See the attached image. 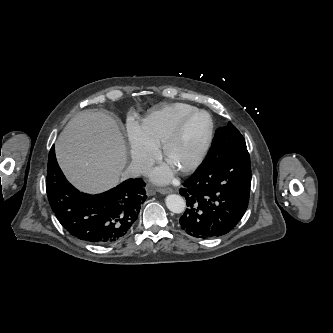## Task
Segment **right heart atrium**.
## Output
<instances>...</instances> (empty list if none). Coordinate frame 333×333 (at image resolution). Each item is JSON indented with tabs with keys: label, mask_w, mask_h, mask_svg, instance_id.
I'll return each instance as SVG.
<instances>
[{
	"label": "right heart atrium",
	"mask_w": 333,
	"mask_h": 333,
	"mask_svg": "<svg viewBox=\"0 0 333 333\" xmlns=\"http://www.w3.org/2000/svg\"><path fill=\"white\" fill-rule=\"evenodd\" d=\"M126 135L132 165L137 171L147 169L157 157V147L146 138L142 125L136 120L128 119Z\"/></svg>",
	"instance_id": "1"
}]
</instances>
